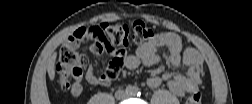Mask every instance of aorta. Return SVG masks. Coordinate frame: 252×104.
I'll use <instances>...</instances> for the list:
<instances>
[{
  "instance_id": "aorta-1",
  "label": "aorta",
  "mask_w": 252,
  "mask_h": 104,
  "mask_svg": "<svg viewBox=\"0 0 252 104\" xmlns=\"http://www.w3.org/2000/svg\"><path fill=\"white\" fill-rule=\"evenodd\" d=\"M127 92L130 94V95H134L136 93V90L133 88V87H129L127 89Z\"/></svg>"
}]
</instances>
